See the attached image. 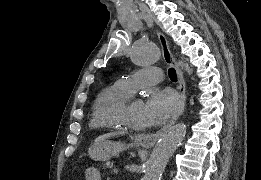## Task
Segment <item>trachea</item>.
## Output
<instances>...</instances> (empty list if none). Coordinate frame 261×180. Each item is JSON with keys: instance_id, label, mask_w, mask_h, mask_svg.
<instances>
[{"instance_id": "trachea-1", "label": "trachea", "mask_w": 261, "mask_h": 180, "mask_svg": "<svg viewBox=\"0 0 261 180\" xmlns=\"http://www.w3.org/2000/svg\"><path fill=\"white\" fill-rule=\"evenodd\" d=\"M169 78L173 81L176 82L177 81V74H176V70L174 68H170L169 71Z\"/></svg>"}]
</instances>
